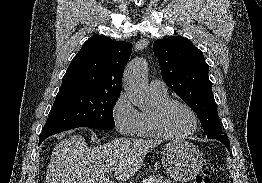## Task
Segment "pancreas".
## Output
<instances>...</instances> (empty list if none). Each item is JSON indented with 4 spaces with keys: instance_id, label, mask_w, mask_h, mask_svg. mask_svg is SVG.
I'll return each mask as SVG.
<instances>
[{
    "instance_id": "1",
    "label": "pancreas",
    "mask_w": 262,
    "mask_h": 183,
    "mask_svg": "<svg viewBox=\"0 0 262 183\" xmlns=\"http://www.w3.org/2000/svg\"><path fill=\"white\" fill-rule=\"evenodd\" d=\"M142 183H171V181L160 175H150L144 178Z\"/></svg>"
}]
</instances>
